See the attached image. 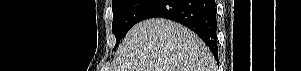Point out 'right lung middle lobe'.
<instances>
[{"mask_svg": "<svg viewBox=\"0 0 301 71\" xmlns=\"http://www.w3.org/2000/svg\"><path fill=\"white\" fill-rule=\"evenodd\" d=\"M155 0H113V23L112 30L116 37L115 48L119 45L130 28L140 21L143 12Z\"/></svg>", "mask_w": 301, "mask_h": 71, "instance_id": "dd1d6c3e", "label": "right lung middle lobe"}]
</instances>
